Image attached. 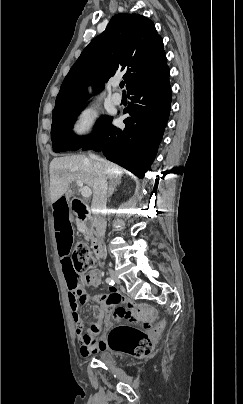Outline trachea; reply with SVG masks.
<instances>
[{"label": "trachea", "instance_id": "1", "mask_svg": "<svg viewBox=\"0 0 243 404\" xmlns=\"http://www.w3.org/2000/svg\"><path fill=\"white\" fill-rule=\"evenodd\" d=\"M124 82H120V88H123L124 87Z\"/></svg>", "mask_w": 243, "mask_h": 404}]
</instances>
